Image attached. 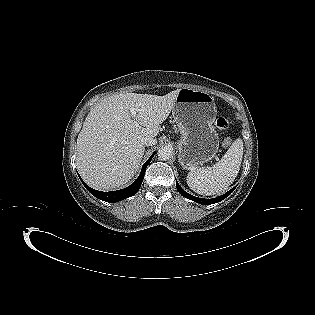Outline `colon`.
Returning a JSON list of instances; mask_svg holds the SVG:
<instances>
[{
  "label": "colon",
  "instance_id": "colon-1",
  "mask_svg": "<svg viewBox=\"0 0 315 315\" xmlns=\"http://www.w3.org/2000/svg\"><path fill=\"white\" fill-rule=\"evenodd\" d=\"M215 126L219 130H226L229 127V121L224 116H219V117H217V119L215 121ZM221 144L223 147L228 148L231 146L232 141L230 138L225 137L222 139Z\"/></svg>",
  "mask_w": 315,
  "mask_h": 315
}]
</instances>
